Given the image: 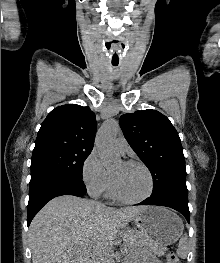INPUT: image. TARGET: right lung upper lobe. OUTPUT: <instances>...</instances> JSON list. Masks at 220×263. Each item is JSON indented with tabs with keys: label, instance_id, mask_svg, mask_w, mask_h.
<instances>
[{
	"label": "right lung upper lobe",
	"instance_id": "cb5924a9",
	"mask_svg": "<svg viewBox=\"0 0 220 263\" xmlns=\"http://www.w3.org/2000/svg\"><path fill=\"white\" fill-rule=\"evenodd\" d=\"M96 126L95 114L89 107L59 106L41 124L33 152L49 148L92 150Z\"/></svg>",
	"mask_w": 220,
	"mask_h": 263
}]
</instances>
